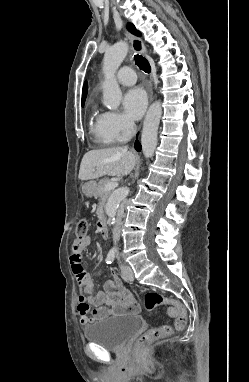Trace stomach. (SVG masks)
Instances as JSON below:
<instances>
[{
  "label": "stomach",
  "mask_w": 249,
  "mask_h": 382,
  "mask_svg": "<svg viewBox=\"0 0 249 382\" xmlns=\"http://www.w3.org/2000/svg\"><path fill=\"white\" fill-rule=\"evenodd\" d=\"M96 183L94 181L87 182L82 187V192L86 197H91L94 195L96 189Z\"/></svg>",
  "instance_id": "0dacf381"
}]
</instances>
